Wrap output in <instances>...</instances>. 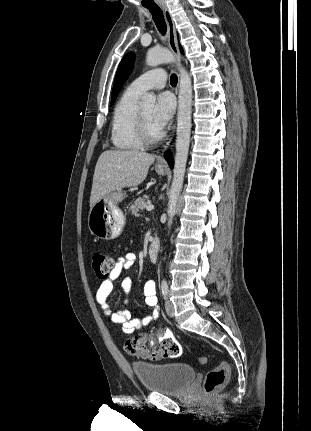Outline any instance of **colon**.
I'll return each mask as SVG.
<instances>
[{"label":"colon","mask_w":311,"mask_h":431,"mask_svg":"<svg viewBox=\"0 0 311 431\" xmlns=\"http://www.w3.org/2000/svg\"><path fill=\"white\" fill-rule=\"evenodd\" d=\"M90 261L95 274L101 279L109 276L114 265L113 255L104 250L94 251ZM124 349L129 355L150 360L160 358L174 359L181 355V346L172 336L149 339L145 335H140L126 341ZM199 362L206 364L207 358L200 357ZM229 371L230 367L226 361H221L217 367L208 371L204 380L205 392L212 393L223 388L228 380Z\"/></svg>","instance_id":"obj_1"}]
</instances>
